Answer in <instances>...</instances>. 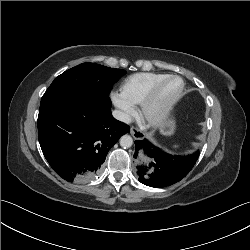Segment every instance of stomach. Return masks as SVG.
<instances>
[{
  "label": "stomach",
  "instance_id": "stomach-1",
  "mask_svg": "<svg viewBox=\"0 0 250 250\" xmlns=\"http://www.w3.org/2000/svg\"><path fill=\"white\" fill-rule=\"evenodd\" d=\"M174 130H175V122L173 119L166 120L160 127L161 133L166 136L173 134Z\"/></svg>",
  "mask_w": 250,
  "mask_h": 250
}]
</instances>
